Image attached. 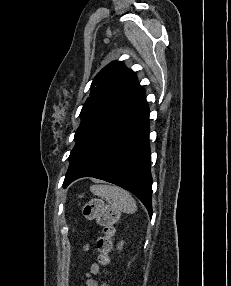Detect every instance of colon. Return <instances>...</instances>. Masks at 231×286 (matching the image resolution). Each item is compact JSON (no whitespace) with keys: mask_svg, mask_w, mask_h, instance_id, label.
I'll list each match as a JSON object with an SVG mask.
<instances>
[{"mask_svg":"<svg viewBox=\"0 0 231 286\" xmlns=\"http://www.w3.org/2000/svg\"><path fill=\"white\" fill-rule=\"evenodd\" d=\"M84 217L96 222L103 228L102 235L97 239L96 246L99 252V262L106 267L110 262V252L112 249V237L115 233V226L119 219V212L110 204L103 200L94 198L87 202L82 208ZM100 286H109L106 281H102Z\"/></svg>","mask_w":231,"mask_h":286,"instance_id":"1","label":"colon"}]
</instances>
